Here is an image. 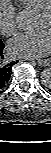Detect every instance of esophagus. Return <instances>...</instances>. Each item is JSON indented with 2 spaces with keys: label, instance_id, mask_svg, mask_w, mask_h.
<instances>
[{
  "label": "esophagus",
  "instance_id": "obj_1",
  "mask_svg": "<svg viewBox=\"0 0 51 153\" xmlns=\"http://www.w3.org/2000/svg\"><path fill=\"white\" fill-rule=\"evenodd\" d=\"M39 66H49L51 64L49 59H39L37 60Z\"/></svg>",
  "mask_w": 51,
  "mask_h": 153
}]
</instances>
